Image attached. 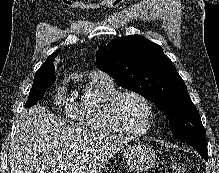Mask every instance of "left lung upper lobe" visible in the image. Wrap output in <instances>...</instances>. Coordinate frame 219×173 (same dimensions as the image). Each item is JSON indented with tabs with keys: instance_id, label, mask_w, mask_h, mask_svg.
<instances>
[{
	"instance_id": "5c2ea615",
	"label": "left lung upper lobe",
	"mask_w": 219,
	"mask_h": 173,
	"mask_svg": "<svg viewBox=\"0 0 219 173\" xmlns=\"http://www.w3.org/2000/svg\"><path fill=\"white\" fill-rule=\"evenodd\" d=\"M97 66L116 82L154 102L173 135L207 149L206 132L183 79L162 48L140 35L115 38L97 51Z\"/></svg>"
}]
</instances>
